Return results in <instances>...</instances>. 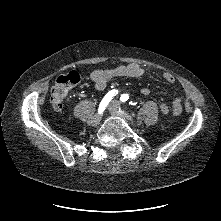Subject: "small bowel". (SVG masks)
<instances>
[{
    "mask_svg": "<svg viewBox=\"0 0 221 221\" xmlns=\"http://www.w3.org/2000/svg\"><path fill=\"white\" fill-rule=\"evenodd\" d=\"M145 70L140 67L138 64H127V65H120L116 68L112 69H96L94 70L90 77L91 80L94 82L95 87L98 90H102L105 88L107 81L112 79L113 77H130V78H140L144 75ZM163 78L168 83H174L175 77L169 73H163ZM142 94L147 96L150 94V90L148 88H143L141 90ZM183 98L181 96L176 97L172 101V110L174 115L181 114L183 110Z\"/></svg>",
    "mask_w": 221,
    "mask_h": 221,
    "instance_id": "1",
    "label": "small bowel"
}]
</instances>
